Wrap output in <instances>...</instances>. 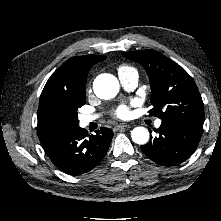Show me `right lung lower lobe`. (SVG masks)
Instances as JSON below:
<instances>
[{
  "label": "right lung lower lobe",
  "mask_w": 221,
  "mask_h": 221,
  "mask_svg": "<svg viewBox=\"0 0 221 221\" xmlns=\"http://www.w3.org/2000/svg\"><path fill=\"white\" fill-rule=\"evenodd\" d=\"M113 131L102 127L96 135L89 136L88 132L78 127L66 132L43 145V148L53 162L62 171L70 175H80L90 171L104 158Z\"/></svg>",
  "instance_id": "98d812e1"
}]
</instances>
